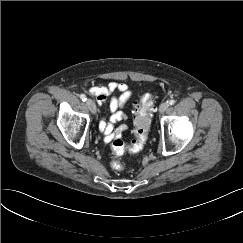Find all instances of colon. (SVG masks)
<instances>
[{"mask_svg": "<svg viewBox=\"0 0 243 243\" xmlns=\"http://www.w3.org/2000/svg\"><path fill=\"white\" fill-rule=\"evenodd\" d=\"M154 110L153 97L147 93L143 95L140 102L135 105L134 116V138L129 145H126L120 138L114 139L111 145L112 154L115 157L122 156L125 152H139L145 145L151 122L152 111ZM111 167L120 171L123 164L114 158L111 161Z\"/></svg>", "mask_w": 243, "mask_h": 243, "instance_id": "5ec220e1", "label": "colon"}]
</instances>
